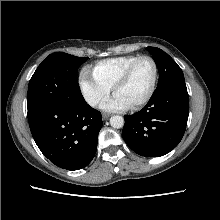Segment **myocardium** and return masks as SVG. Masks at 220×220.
Masks as SVG:
<instances>
[{
    "instance_id": "obj_1",
    "label": "myocardium",
    "mask_w": 220,
    "mask_h": 220,
    "mask_svg": "<svg viewBox=\"0 0 220 220\" xmlns=\"http://www.w3.org/2000/svg\"><path fill=\"white\" fill-rule=\"evenodd\" d=\"M142 60H149L152 63L153 68H154L153 81H152L151 88L149 92L147 93V95L142 100L137 102L136 104L130 106L131 109H138L146 105L152 99L153 95L155 94L157 83H158V78H159V68H158V65L155 59L148 55L139 56L126 68V70L122 73V75L117 79V81L113 85V92L116 93L118 88H120L122 85H124L128 81L134 68Z\"/></svg>"
}]
</instances>
